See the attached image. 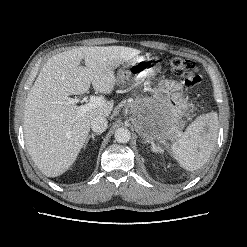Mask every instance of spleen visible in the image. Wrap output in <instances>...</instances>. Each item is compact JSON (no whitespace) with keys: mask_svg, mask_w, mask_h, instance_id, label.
I'll return each mask as SVG.
<instances>
[{"mask_svg":"<svg viewBox=\"0 0 247 247\" xmlns=\"http://www.w3.org/2000/svg\"><path fill=\"white\" fill-rule=\"evenodd\" d=\"M218 136V114L210 112L198 116L181 137L170 146L172 156L181 167L195 171L209 159Z\"/></svg>","mask_w":247,"mask_h":247,"instance_id":"1","label":"spleen"}]
</instances>
